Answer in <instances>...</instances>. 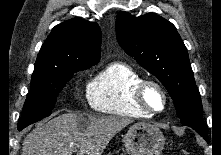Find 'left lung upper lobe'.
<instances>
[{
	"instance_id": "5c2ea615",
	"label": "left lung upper lobe",
	"mask_w": 221,
	"mask_h": 155,
	"mask_svg": "<svg viewBox=\"0 0 221 155\" xmlns=\"http://www.w3.org/2000/svg\"><path fill=\"white\" fill-rule=\"evenodd\" d=\"M116 35L125 52L166 87L181 123L204 128L200 94L187 49L175 26L154 13L134 17L120 12Z\"/></svg>"
}]
</instances>
